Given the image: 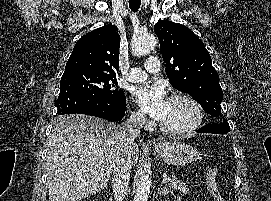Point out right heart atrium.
Masks as SVG:
<instances>
[{
  "instance_id": "right-heart-atrium-1",
  "label": "right heart atrium",
  "mask_w": 271,
  "mask_h": 201,
  "mask_svg": "<svg viewBox=\"0 0 271 201\" xmlns=\"http://www.w3.org/2000/svg\"><path fill=\"white\" fill-rule=\"evenodd\" d=\"M131 120L137 124H143L145 122V116L140 110L131 112Z\"/></svg>"
}]
</instances>
